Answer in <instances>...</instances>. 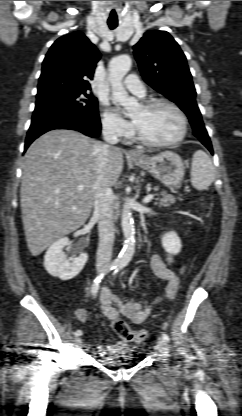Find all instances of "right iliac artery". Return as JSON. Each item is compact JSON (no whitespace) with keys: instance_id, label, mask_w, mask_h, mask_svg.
Wrapping results in <instances>:
<instances>
[{"instance_id":"obj_1","label":"right iliac artery","mask_w":242,"mask_h":416,"mask_svg":"<svg viewBox=\"0 0 242 416\" xmlns=\"http://www.w3.org/2000/svg\"><path fill=\"white\" fill-rule=\"evenodd\" d=\"M118 266H119V264H117V263H111L110 265H108V267L102 273H100L95 278V280L93 281V284L91 286V293H92V295L95 296L97 294V292L99 290V286H100L101 279L104 277V275L107 274L108 272H110L111 270L117 268ZM74 335L75 336H80V335H82V331L81 330H76L74 332Z\"/></svg>"}]
</instances>
